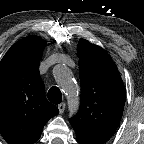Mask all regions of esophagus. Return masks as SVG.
Returning a JSON list of instances; mask_svg holds the SVG:
<instances>
[{"label": "esophagus", "mask_w": 144, "mask_h": 144, "mask_svg": "<svg viewBox=\"0 0 144 144\" xmlns=\"http://www.w3.org/2000/svg\"><path fill=\"white\" fill-rule=\"evenodd\" d=\"M66 104L64 102L58 105L59 112L62 114L65 110Z\"/></svg>", "instance_id": "esophagus-1"}]
</instances>
